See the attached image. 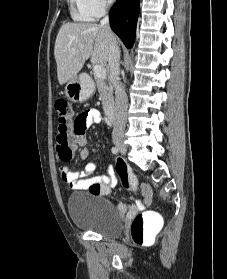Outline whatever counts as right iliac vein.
Listing matches in <instances>:
<instances>
[{
  "label": "right iliac vein",
  "instance_id": "1",
  "mask_svg": "<svg viewBox=\"0 0 227 279\" xmlns=\"http://www.w3.org/2000/svg\"><path fill=\"white\" fill-rule=\"evenodd\" d=\"M114 144L121 153L125 154L127 152L126 145L121 139H115Z\"/></svg>",
  "mask_w": 227,
  "mask_h": 279
}]
</instances>
